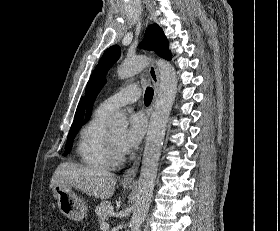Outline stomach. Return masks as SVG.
<instances>
[{
	"label": "stomach",
	"instance_id": "0dacf381",
	"mask_svg": "<svg viewBox=\"0 0 280 231\" xmlns=\"http://www.w3.org/2000/svg\"><path fill=\"white\" fill-rule=\"evenodd\" d=\"M125 189L131 187L129 183H123ZM52 193L57 199L58 207L61 213H64L69 219L73 221H82L87 213V205L85 201L72 191V185H60L56 183L52 187Z\"/></svg>",
	"mask_w": 280,
	"mask_h": 231
}]
</instances>
